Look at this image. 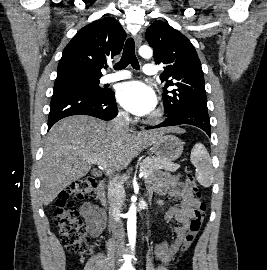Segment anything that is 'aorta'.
Instances as JSON below:
<instances>
[{"label":"aorta","mask_w":267,"mask_h":270,"mask_svg":"<svg viewBox=\"0 0 267 270\" xmlns=\"http://www.w3.org/2000/svg\"><path fill=\"white\" fill-rule=\"evenodd\" d=\"M139 54L143 58L149 59L153 55V51L149 46H141L139 48ZM136 205L133 202L129 208L127 213V231H128V239L131 248L133 249L136 243Z\"/></svg>","instance_id":"aorta-1"}]
</instances>
